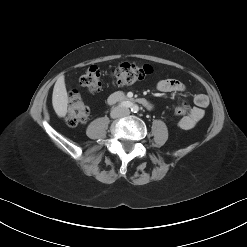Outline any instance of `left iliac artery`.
<instances>
[{"label":"left iliac artery","instance_id":"left-iliac-artery-1","mask_svg":"<svg viewBox=\"0 0 247 247\" xmlns=\"http://www.w3.org/2000/svg\"><path fill=\"white\" fill-rule=\"evenodd\" d=\"M139 110V108L137 106H133V108L131 109L132 112L137 113Z\"/></svg>","mask_w":247,"mask_h":247}]
</instances>
